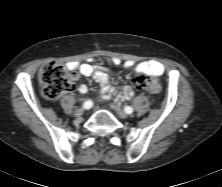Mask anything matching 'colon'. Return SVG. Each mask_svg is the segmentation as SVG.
Returning <instances> with one entry per match:
<instances>
[{
	"mask_svg": "<svg viewBox=\"0 0 222 187\" xmlns=\"http://www.w3.org/2000/svg\"><path fill=\"white\" fill-rule=\"evenodd\" d=\"M75 73L67 70L62 64L51 62L43 66L39 72V80L43 93L48 99H57L62 94L70 92L74 83ZM138 86L151 95L158 91V84L152 78L139 75L136 78Z\"/></svg>",
	"mask_w": 222,
	"mask_h": 187,
	"instance_id": "1",
	"label": "colon"
}]
</instances>
